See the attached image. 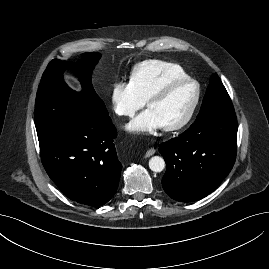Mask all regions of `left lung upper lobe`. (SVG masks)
Masks as SVG:
<instances>
[{
  "label": "left lung upper lobe",
  "mask_w": 269,
  "mask_h": 269,
  "mask_svg": "<svg viewBox=\"0 0 269 269\" xmlns=\"http://www.w3.org/2000/svg\"><path fill=\"white\" fill-rule=\"evenodd\" d=\"M230 113H234L232 101L219 76L214 73L211 76L210 84L196 120L214 118Z\"/></svg>",
  "instance_id": "left-lung-upper-lobe-1"
}]
</instances>
